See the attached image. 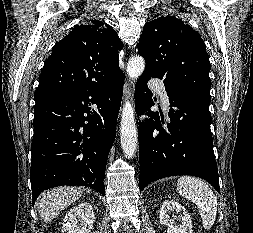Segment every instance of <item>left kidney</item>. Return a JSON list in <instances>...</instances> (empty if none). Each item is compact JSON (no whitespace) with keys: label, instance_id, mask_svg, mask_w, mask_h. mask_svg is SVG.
Returning a JSON list of instances; mask_svg holds the SVG:
<instances>
[{"label":"left kidney","instance_id":"left-kidney-1","mask_svg":"<svg viewBox=\"0 0 253 233\" xmlns=\"http://www.w3.org/2000/svg\"><path fill=\"white\" fill-rule=\"evenodd\" d=\"M176 212L179 224L174 219H170L169 214ZM160 224L168 228L167 233H193L192 221L186 208L174 200H166L160 209Z\"/></svg>","mask_w":253,"mask_h":233}]
</instances>
